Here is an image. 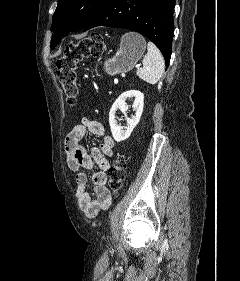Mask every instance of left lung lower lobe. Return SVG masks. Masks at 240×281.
I'll use <instances>...</instances> for the list:
<instances>
[{
    "mask_svg": "<svg viewBox=\"0 0 240 281\" xmlns=\"http://www.w3.org/2000/svg\"><path fill=\"white\" fill-rule=\"evenodd\" d=\"M174 6L175 0H106L83 30L107 26L139 32L160 49L168 67Z\"/></svg>",
    "mask_w": 240,
    "mask_h": 281,
    "instance_id": "0a47b994",
    "label": "left lung lower lobe"
}]
</instances>
